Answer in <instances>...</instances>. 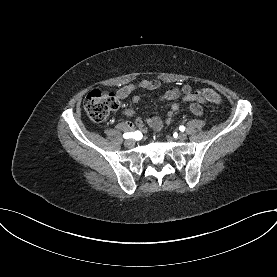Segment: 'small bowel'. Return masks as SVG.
Masks as SVG:
<instances>
[{
  "label": "small bowel",
  "mask_w": 277,
  "mask_h": 277,
  "mask_svg": "<svg viewBox=\"0 0 277 277\" xmlns=\"http://www.w3.org/2000/svg\"><path fill=\"white\" fill-rule=\"evenodd\" d=\"M160 87V82L157 80H142L138 83H129L124 85L123 87L119 88L116 93L115 97L117 101L124 100L131 96L139 89H145L148 91L157 90ZM181 98V101L178 99ZM140 96H134L133 102L138 103L141 101ZM159 99L161 101H173L170 110L166 113L164 120L158 116L149 117L146 119V124L151 127L154 131L160 132L163 128L164 123L170 124L173 118V115L176 111H178L181 107V103L189 104V109L192 114L195 116H201L203 113L202 104H206L207 100L198 96L196 93L192 91L191 86L183 85L181 87H173L163 93ZM127 115H133V112L130 110L126 111ZM135 124L137 128L141 132H145V123L140 117H136ZM124 129H132L133 124L131 122H124L122 124Z\"/></svg>",
  "instance_id": "obj_1"
}]
</instances>
